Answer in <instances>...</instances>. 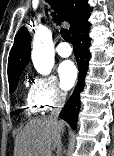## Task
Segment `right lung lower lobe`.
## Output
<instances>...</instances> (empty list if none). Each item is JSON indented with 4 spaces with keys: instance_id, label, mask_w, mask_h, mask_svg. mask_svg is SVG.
I'll return each mask as SVG.
<instances>
[{
    "instance_id": "obj_1",
    "label": "right lung lower lobe",
    "mask_w": 114,
    "mask_h": 156,
    "mask_svg": "<svg viewBox=\"0 0 114 156\" xmlns=\"http://www.w3.org/2000/svg\"><path fill=\"white\" fill-rule=\"evenodd\" d=\"M89 27L88 22H84L73 34L75 42V57L79 68V80L71 97L63 107L59 117L64 119L75 129L77 127L78 111L80 106V92L84 87V79L86 76L88 62L90 60L89 48Z\"/></svg>"
}]
</instances>
